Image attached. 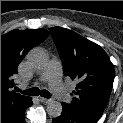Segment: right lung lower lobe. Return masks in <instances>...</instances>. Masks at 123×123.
<instances>
[{"instance_id": "obj_1", "label": "right lung lower lobe", "mask_w": 123, "mask_h": 123, "mask_svg": "<svg viewBox=\"0 0 123 123\" xmlns=\"http://www.w3.org/2000/svg\"><path fill=\"white\" fill-rule=\"evenodd\" d=\"M31 105L32 100L30 98L23 108L2 114L1 123H25L24 113L25 110Z\"/></svg>"}]
</instances>
